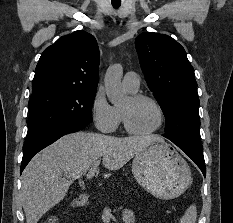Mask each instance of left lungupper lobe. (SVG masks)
I'll list each match as a JSON object with an SVG mask.
<instances>
[{
    "instance_id": "5c2ea615",
    "label": "left lung upper lobe",
    "mask_w": 233,
    "mask_h": 223,
    "mask_svg": "<svg viewBox=\"0 0 233 223\" xmlns=\"http://www.w3.org/2000/svg\"><path fill=\"white\" fill-rule=\"evenodd\" d=\"M135 46L145 80L165 115L163 136L201 144L197 83L184 48L170 36L157 33L140 34Z\"/></svg>"
}]
</instances>
